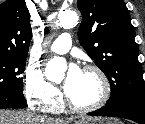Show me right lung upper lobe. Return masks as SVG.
<instances>
[{
    "label": "right lung upper lobe",
    "mask_w": 145,
    "mask_h": 124,
    "mask_svg": "<svg viewBox=\"0 0 145 124\" xmlns=\"http://www.w3.org/2000/svg\"><path fill=\"white\" fill-rule=\"evenodd\" d=\"M25 0L0 4V55L27 57L32 38Z\"/></svg>",
    "instance_id": "right-lung-upper-lobe-1"
}]
</instances>
